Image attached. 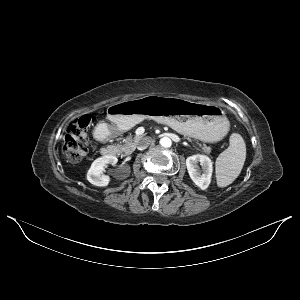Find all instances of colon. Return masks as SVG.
Returning <instances> with one entry per match:
<instances>
[{
  "instance_id": "obj_1",
  "label": "colon",
  "mask_w": 300,
  "mask_h": 300,
  "mask_svg": "<svg viewBox=\"0 0 300 300\" xmlns=\"http://www.w3.org/2000/svg\"><path fill=\"white\" fill-rule=\"evenodd\" d=\"M92 121L90 115H84L69 126L64 139V154L68 161L77 163L86 156V134Z\"/></svg>"
}]
</instances>
